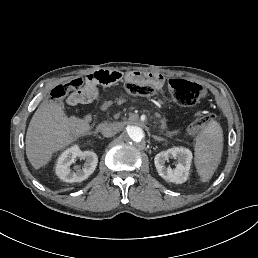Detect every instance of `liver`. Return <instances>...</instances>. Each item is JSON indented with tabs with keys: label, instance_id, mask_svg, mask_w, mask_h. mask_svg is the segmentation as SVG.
I'll list each match as a JSON object with an SVG mask.
<instances>
[{
	"label": "liver",
	"instance_id": "obj_1",
	"mask_svg": "<svg viewBox=\"0 0 258 258\" xmlns=\"http://www.w3.org/2000/svg\"><path fill=\"white\" fill-rule=\"evenodd\" d=\"M62 104L41 105L34 113L26 135V154L35 169L46 164L50 153L72 142L75 118H67Z\"/></svg>",
	"mask_w": 258,
	"mask_h": 258
}]
</instances>
